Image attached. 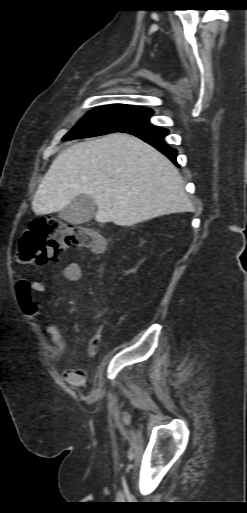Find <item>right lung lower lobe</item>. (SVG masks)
Masks as SVG:
<instances>
[{
    "label": "right lung lower lobe",
    "instance_id": "98d812e1",
    "mask_svg": "<svg viewBox=\"0 0 247 513\" xmlns=\"http://www.w3.org/2000/svg\"><path fill=\"white\" fill-rule=\"evenodd\" d=\"M119 132L129 133L139 137L156 149L165 154L176 165L177 151L163 142L164 136L168 134V130L161 127L152 126L149 121L128 126Z\"/></svg>",
    "mask_w": 247,
    "mask_h": 513
}]
</instances>
